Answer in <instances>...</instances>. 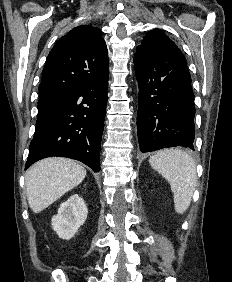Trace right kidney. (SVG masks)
<instances>
[{"label": "right kidney", "mask_w": 232, "mask_h": 282, "mask_svg": "<svg viewBox=\"0 0 232 282\" xmlns=\"http://www.w3.org/2000/svg\"><path fill=\"white\" fill-rule=\"evenodd\" d=\"M88 209L82 197L74 194L60 205L52 218V228L65 240L71 239L87 219Z\"/></svg>", "instance_id": "obj_1"}]
</instances>
